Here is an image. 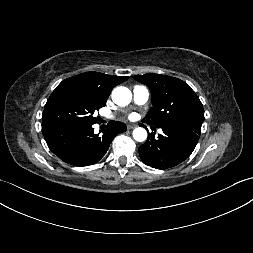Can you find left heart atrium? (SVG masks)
<instances>
[{
    "instance_id": "1",
    "label": "left heart atrium",
    "mask_w": 253,
    "mask_h": 253,
    "mask_svg": "<svg viewBox=\"0 0 253 253\" xmlns=\"http://www.w3.org/2000/svg\"><path fill=\"white\" fill-rule=\"evenodd\" d=\"M130 118H131V119L135 118V114H131V115H130Z\"/></svg>"
}]
</instances>
